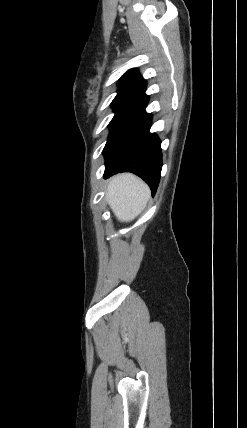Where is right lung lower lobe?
Masks as SVG:
<instances>
[{"instance_id": "98d812e1", "label": "right lung lower lobe", "mask_w": 247, "mask_h": 428, "mask_svg": "<svg viewBox=\"0 0 247 428\" xmlns=\"http://www.w3.org/2000/svg\"><path fill=\"white\" fill-rule=\"evenodd\" d=\"M149 97L143 93L111 124L103 150L104 177L132 172L141 177L155 194L162 167L161 141L150 133L151 115L145 112Z\"/></svg>"}]
</instances>
